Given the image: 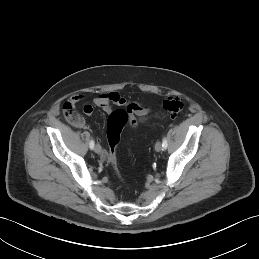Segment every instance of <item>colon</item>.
Here are the masks:
<instances>
[{"label": "colon", "mask_w": 259, "mask_h": 259, "mask_svg": "<svg viewBox=\"0 0 259 259\" xmlns=\"http://www.w3.org/2000/svg\"><path fill=\"white\" fill-rule=\"evenodd\" d=\"M162 108L171 117H177L182 113L184 104L177 97H169L163 101ZM62 110L65 119L69 123L77 125L82 121V116L77 111L73 100L65 101ZM129 121V113L124 109H117L112 111L107 121L106 133L109 149L105 153L104 159L107 162L108 166L113 169L117 174L118 170L116 163V147L119 143L121 133L124 127L129 123Z\"/></svg>", "instance_id": "obj_1"}]
</instances>
